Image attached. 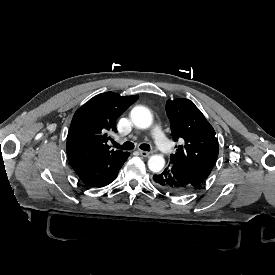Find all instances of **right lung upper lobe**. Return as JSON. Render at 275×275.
<instances>
[{
	"mask_svg": "<svg viewBox=\"0 0 275 275\" xmlns=\"http://www.w3.org/2000/svg\"><path fill=\"white\" fill-rule=\"evenodd\" d=\"M138 99L105 92L94 96L74 114L67 136V154L71 164L121 155L122 151L110 149L107 142L116 132L117 118Z\"/></svg>",
	"mask_w": 275,
	"mask_h": 275,
	"instance_id": "1",
	"label": "right lung upper lobe"
}]
</instances>
